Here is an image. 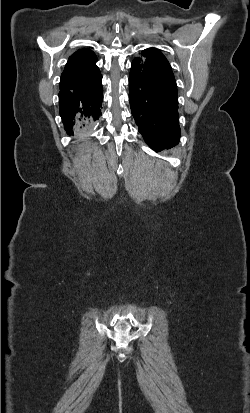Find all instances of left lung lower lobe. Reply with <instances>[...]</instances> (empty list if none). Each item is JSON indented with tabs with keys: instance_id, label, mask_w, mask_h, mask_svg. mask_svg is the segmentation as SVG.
I'll list each match as a JSON object with an SVG mask.
<instances>
[{
	"instance_id": "0a47b994",
	"label": "left lung lower lobe",
	"mask_w": 250,
	"mask_h": 413,
	"mask_svg": "<svg viewBox=\"0 0 250 413\" xmlns=\"http://www.w3.org/2000/svg\"><path fill=\"white\" fill-rule=\"evenodd\" d=\"M132 115L145 142L159 152L179 142L177 85L171 66L155 48L132 61L129 75Z\"/></svg>"
}]
</instances>
